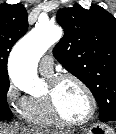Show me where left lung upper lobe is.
<instances>
[{"label": "left lung upper lobe", "instance_id": "left-lung-upper-lobe-1", "mask_svg": "<svg viewBox=\"0 0 116 134\" xmlns=\"http://www.w3.org/2000/svg\"><path fill=\"white\" fill-rule=\"evenodd\" d=\"M57 21L64 36L55 58L93 93L101 121L116 120V18L93 4L60 9Z\"/></svg>", "mask_w": 116, "mask_h": 134}]
</instances>
